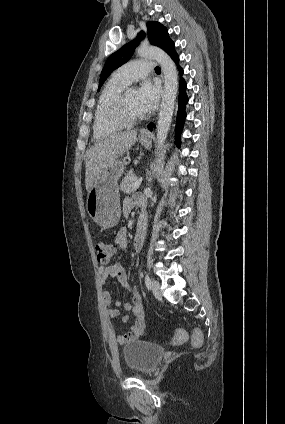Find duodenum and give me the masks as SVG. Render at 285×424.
I'll return each mask as SVG.
<instances>
[{
    "label": "duodenum",
    "instance_id": "duodenum-1",
    "mask_svg": "<svg viewBox=\"0 0 285 424\" xmlns=\"http://www.w3.org/2000/svg\"><path fill=\"white\" fill-rule=\"evenodd\" d=\"M146 226H147V216L142 213L139 215L136 222V235L138 237L143 238L145 236Z\"/></svg>",
    "mask_w": 285,
    "mask_h": 424
}]
</instances>
